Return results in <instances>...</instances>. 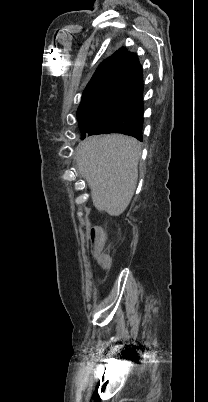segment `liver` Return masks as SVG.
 <instances>
[{"mask_svg":"<svg viewBox=\"0 0 208 402\" xmlns=\"http://www.w3.org/2000/svg\"><path fill=\"white\" fill-rule=\"evenodd\" d=\"M76 154L93 206L110 216L123 214L136 190L140 142L122 134L91 136L80 142Z\"/></svg>","mask_w":208,"mask_h":402,"instance_id":"obj_1","label":"liver"}]
</instances>
